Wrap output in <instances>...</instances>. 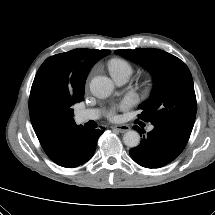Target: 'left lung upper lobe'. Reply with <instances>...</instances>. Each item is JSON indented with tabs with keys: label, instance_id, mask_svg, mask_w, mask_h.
Segmentation results:
<instances>
[{
	"label": "left lung upper lobe",
	"instance_id": "obj_1",
	"mask_svg": "<svg viewBox=\"0 0 215 215\" xmlns=\"http://www.w3.org/2000/svg\"><path fill=\"white\" fill-rule=\"evenodd\" d=\"M147 68L154 78L149 99L143 102L140 118L163 126L189 139L196 117V96L191 73L174 55L154 48L116 50Z\"/></svg>",
	"mask_w": 215,
	"mask_h": 215
}]
</instances>
